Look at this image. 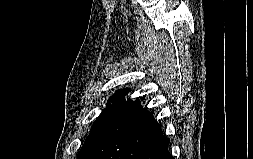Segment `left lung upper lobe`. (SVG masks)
<instances>
[{"label":"left lung upper lobe","mask_w":253,"mask_h":159,"mask_svg":"<svg viewBox=\"0 0 253 159\" xmlns=\"http://www.w3.org/2000/svg\"><path fill=\"white\" fill-rule=\"evenodd\" d=\"M129 92L128 89L118 90L108 102H117V104H112L107 106L99 117L94 122L89 136L86 138L81 151L78 155L77 159H84L86 154L88 153L91 146L100 136L102 130L106 127V125L119 113L121 112L126 106L130 105L132 102L130 100L119 102L127 93Z\"/></svg>","instance_id":"5c2ea615"}]
</instances>
